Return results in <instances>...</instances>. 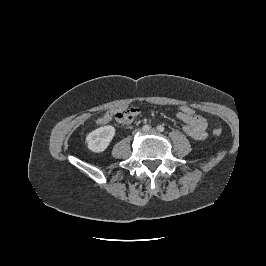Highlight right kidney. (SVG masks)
Segmentation results:
<instances>
[{
  "instance_id": "1",
  "label": "right kidney",
  "mask_w": 266,
  "mask_h": 266,
  "mask_svg": "<svg viewBox=\"0 0 266 266\" xmlns=\"http://www.w3.org/2000/svg\"><path fill=\"white\" fill-rule=\"evenodd\" d=\"M115 128L111 125L100 127L86 136L88 148L93 152H103L112 141Z\"/></svg>"
}]
</instances>
